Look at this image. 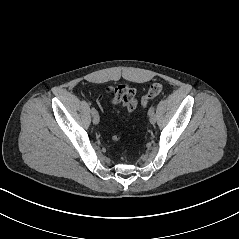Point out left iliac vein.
<instances>
[{
  "mask_svg": "<svg viewBox=\"0 0 239 239\" xmlns=\"http://www.w3.org/2000/svg\"><path fill=\"white\" fill-rule=\"evenodd\" d=\"M149 116H150V123L151 124H155V122H156V115H155V113H153V114H151Z\"/></svg>",
  "mask_w": 239,
  "mask_h": 239,
  "instance_id": "obj_1",
  "label": "left iliac vein"
}]
</instances>
